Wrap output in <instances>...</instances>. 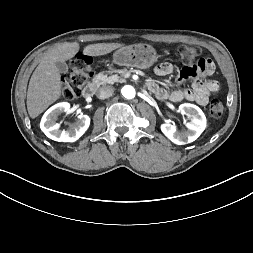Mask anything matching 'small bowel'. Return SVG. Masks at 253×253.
<instances>
[{
  "label": "small bowel",
  "instance_id": "1",
  "mask_svg": "<svg viewBox=\"0 0 253 253\" xmlns=\"http://www.w3.org/2000/svg\"><path fill=\"white\" fill-rule=\"evenodd\" d=\"M175 70L173 65L164 63L155 68V74L163 77ZM215 73V61L213 59L204 60L202 57H195L193 60L182 66L181 75L176 78V84H182L193 79L213 75ZM148 88L154 92L160 99H169L172 102H181L183 100L193 101L199 105H206L211 94L219 90V85L215 80L196 79L193 81L191 88L177 89L168 91L162 88L154 79L148 81Z\"/></svg>",
  "mask_w": 253,
  "mask_h": 253
}]
</instances>
